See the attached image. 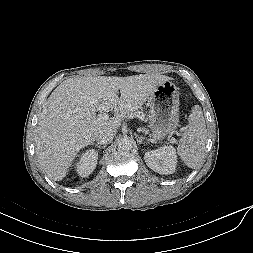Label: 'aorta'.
<instances>
[{
  "instance_id": "1",
  "label": "aorta",
  "mask_w": 253,
  "mask_h": 253,
  "mask_svg": "<svg viewBox=\"0 0 253 253\" xmlns=\"http://www.w3.org/2000/svg\"><path fill=\"white\" fill-rule=\"evenodd\" d=\"M118 147L122 150H130L133 147V141L127 136L121 137L118 140Z\"/></svg>"
}]
</instances>
